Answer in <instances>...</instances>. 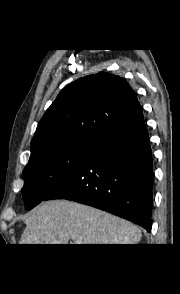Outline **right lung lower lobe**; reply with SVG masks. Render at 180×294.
<instances>
[{"label":"right lung lower lobe","instance_id":"98d812e1","mask_svg":"<svg viewBox=\"0 0 180 294\" xmlns=\"http://www.w3.org/2000/svg\"><path fill=\"white\" fill-rule=\"evenodd\" d=\"M152 151L141 107L104 135L73 174L46 200L96 207L151 230Z\"/></svg>","mask_w":180,"mask_h":294}]
</instances>
